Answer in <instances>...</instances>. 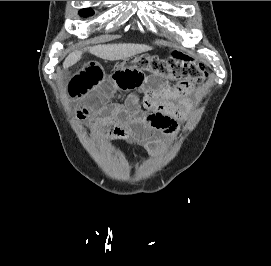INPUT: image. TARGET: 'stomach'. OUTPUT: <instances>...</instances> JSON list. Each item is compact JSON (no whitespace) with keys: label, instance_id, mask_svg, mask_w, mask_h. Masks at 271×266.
Listing matches in <instances>:
<instances>
[{"label":"stomach","instance_id":"0dacf381","mask_svg":"<svg viewBox=\"0 0 271 266\" xmlns=\"http://www.w3.org/2000/svg\"><path fill=\"white\" fill-rule=\"evenodd\" d=\"M171 57L176 59V60H179V61H187V62H193L194 59L187 55V54H184L183 52H180V51H177V50H172L171 51Z\"/></svg>","mask_w":271,"mask_h":266}]
</instances>
